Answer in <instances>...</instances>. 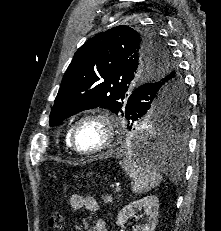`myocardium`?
I'll return each instance as SVG.
<instances>
[{"label": "myocardium", "instance_id": "myocardium-1", "mask_svg": "<svg viewBox=\"0 0 221 231\" xmlns=\"http://www.w3.org/2000/svg\"><path fill=\"white\" fill-rule=\"evenodd\" d=\"M89 120H98L105 127V141L104 143L91 151H83L80 150L76 144V133L79 126ZM116 140V126L114 118L106 111H92L87 114L81 116L76 122L73 124L70 132V146L77 154L85 157H94L98 156L105 151L109 150L114 146Z\"/></svg>", "mask_w": 221, "mask_h": 231}]
</instances>
